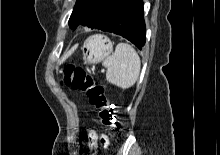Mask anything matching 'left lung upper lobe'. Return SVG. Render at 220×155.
Returning <instances> with one entry per match:
<instances>
[{"label": "left lung upper lobe", "mask_w": 220, "mask_h": 155, "mask_svg": "<svg viewBox=\"0 0 220 155\" xmlns=\"http://www.w3.org/2000/svg\"><path fill=\"white\" fill-rule=\"evenodd\" d=\"M97 0H77L71 17L69 19V26L72 29H76L79 25L82 17L88 11V9L96 2Z\"/></svg>", "instance_id": "left-lung-upper-lobe-1"}]
</instances>
